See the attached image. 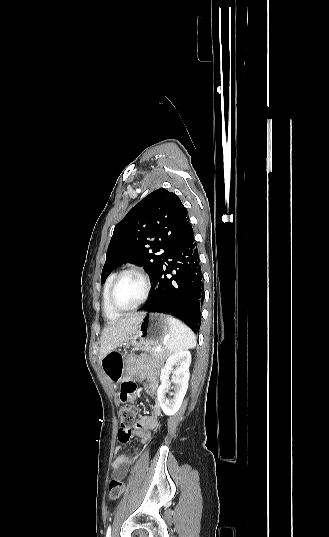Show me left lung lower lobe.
Returning a JSON list of instances; mask_svg holds the SVG:
<instances>
[{"label": "left lung lower lobe", "mask_w": 329, "mask_h": 537, "mask_svg": "<svg viewBox=\"0 0 329 537\" xmlns=\"http://www.w3.org/2000/svg\"><path fill=\"white\" fill-rule=\"evenodd\" d=\"M202 285L198 249L190 224L158 266L153 275L152 294L141 310L175 315L197 333L201 322Z\"/></svg>", "instance_id": "obj_1"}]
</instances>
